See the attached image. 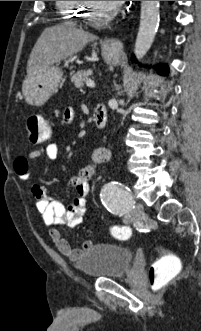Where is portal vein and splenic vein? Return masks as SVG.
I'll use <instances>...</instances> for the list:
<instances>
[{"label":"portal vein and splenic vein","mask_w":201,"mask_h":331,"mask_svg":"<svg viewBox=\"0 0 201 331\" xmlns=\"http://www.w3.org/2000/svg\"><path fill=\"white\" fill-rule=\"evenodd\" d=\"M86 85H87V87H90V88H94L95 87V83L92 80L87 81L86 82Z\"/></svg>","instance_id":"portal-vein-and-splenic-vein-1"}]
</instances>
